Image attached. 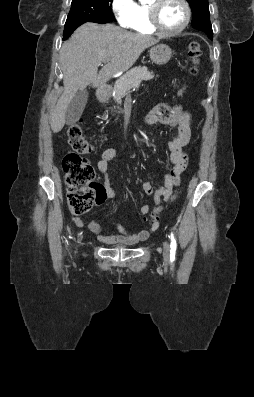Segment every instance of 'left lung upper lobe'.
Here are the masks:
<instances>
[{"label":"left lung upper lobe","mask_w":254,"mask_h":397,"mask_svg":"<svg viewBox=\"0 0 254 397\" xmlns=\"http://www.w3.org/2000/svg\"><path fill=\"white\" fill-rule=\"evenodd\" d=\"M192 9V26L204 31L213 39L212 25L209 16L208 0H187Z\"/></svg>","instance_id":"left-lung-upper-lobe-1"}]
</instances>
